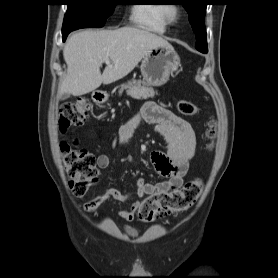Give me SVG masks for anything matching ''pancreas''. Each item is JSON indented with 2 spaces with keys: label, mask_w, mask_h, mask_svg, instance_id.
<instances>
[{
  "label": "pancreas",
  "mask_w": 278,
  "mask_h": 278,
  "mask_svg": "<svg viewBox=\"0 0 278 278\" xmlns=\"http://www.w3.org/2000/svg\"><path fill=\"white\" fill-rule=\"evenodd\" d=\"M123 90H126L127 94L135 99L153 98L156 93L145 81L130 82L129 84L121 87L119 94H122Z\"/></svg>",
  "instance_id": "obj_1"
}]
</instances>
